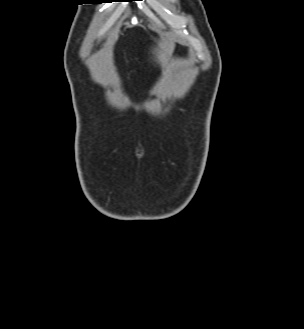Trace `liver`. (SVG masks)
<instances>
[{
	"label": "liver",
	"instance_id": "6515ba94",
	"mask_svg": "<svg viewBox=\"0 0 304 329\" xmlns=\"http://www.w3.org/2000/svg\"><path fill=\"white\" fill-rule=\"evenodd\" d=\"M175 47V39L172 36H169L167 39H161L158 42V46L154 49V54L159 63L164 65L170 55L172 54Z\"/></svg>",
	"mask_w": 304,
	"mask_h": 329
}]
</instances>
